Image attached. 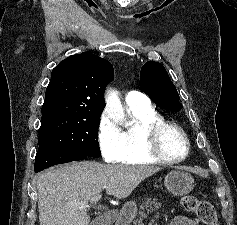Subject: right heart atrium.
<instances>
[{
  "label": "right heart atrium",
  "instance_id": "right-heart-atrium-1",
  "mask_svg": "<svg viewBox=\"0 0 237 225\" xmlns=\"http://www.w3.org/2000/svg\"><path fill=\"white\" fill-rule=\"evenodd\" d=\"M96 136L104 160L109 163L119 162L124 152L122 130L106 112L98 120Z\"/></svg>",
  "mask_w": 237,
  "mask_h": 225
}]
</instances>
